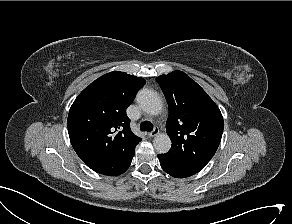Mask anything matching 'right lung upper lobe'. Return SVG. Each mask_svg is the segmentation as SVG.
Instances as JSON below:
<instances>
[{"mask_svg": "<svg viewBox=\"0 0 292 224\" xmlns=\"http://www.w3.org/2000/svg\"><path fill=\"white\" fill-rule=\"evenodd\" d=\"M145 83L141 77L113 71L78 95L67 125L71 144L82 160L123 158L135 152L141 138L132 133L126 108Z\"/></svg>", "mask_w": 292, "mask_h": 224, "instance_id": "obj_1", "label": "right lung upper lobe"}]
</instances>
